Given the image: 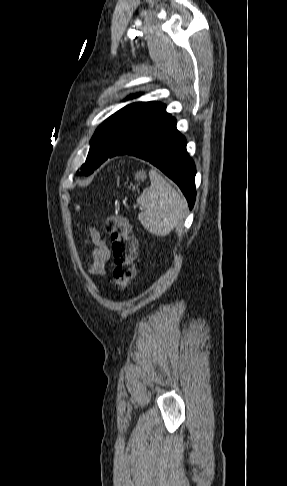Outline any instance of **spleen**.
Segmentation results:
<instances>
[{
	"mask_svg": "<svg viewBox=\"0 0 287 486\" xmlns=\"http://www.w3.org/2000/svg\"><path fill=\"white\" fill-rule=\"evenodd\" d=\"M149 177L150 187L137 198L144 209L138 219L151 234L166 236L183 220L187 203L158 172L150 171Z\"/></svg>",
	"mask_w": 287,
	"mask_h": 486,
	"instance_id": "obj_1",
	"label": "spleen"
}]
</instances>
